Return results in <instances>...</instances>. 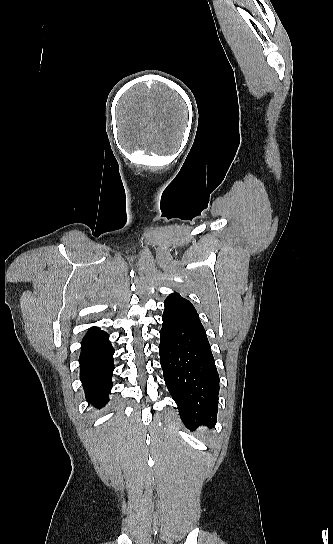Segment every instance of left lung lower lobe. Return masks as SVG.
I'll return each mask as SVG.
<instances>
[{
	"mask_svg": "<svg viewBox=\"0 0 333 544\" xmlns=\"http://www.w3.org/2000/svg\"><path fill=\"white\" fill-rule=\"evenodd\" d=\"M164 307L159 353L166 386L187 428L215 426L219 376L205 329L180 294H170Z\"/></svg>",
	"mask_w": 333,
	"mask_h": 544,
	"instance_id": "left-lung-lower-lobe-1",
	"label": "left lung lower lobe"
}]
</instances>
